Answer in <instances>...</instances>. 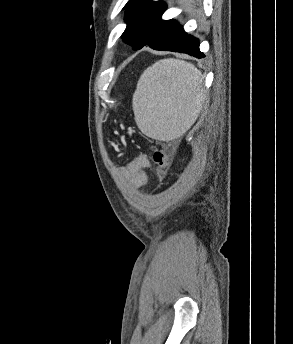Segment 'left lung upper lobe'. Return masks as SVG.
Listing matches in <instances>:
<instances>
[{"label":"left lung upper lobe","instance_id":"left-lung-upper-lobe-1","mask_svg":"<svg viewBox=\"0 0 293 344\" xmlns=\"http://www.w3.org/2000/svg\"><path fill=\"white\" fill-rule=\"evenodd\" d=\"M124 8L127 27L122 38L134 50L166 43L181 27L174 20L161 19L167 8L163 1L129 0Z\"/></svg>","mask_w":293,"mask_h":344}]
</instances>
